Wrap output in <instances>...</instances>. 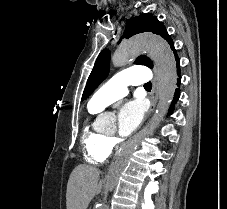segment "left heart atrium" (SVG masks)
Wrapping results in <instances>:
<instances>
[{"mask_svg":"<svg viewBox=\"0 0 227 209\" xmlns=\"http://www.w3.org/2000/svg\"><path fill=\"white\" fill-rule=\"evenodd\" d=\"M144 114V105L139 100L125 101L119 109V132L129 136L140 124Z\"/></svg>","mask_w":227,"mask_h":209,"instance_id":"left-heart-atrium-1","label":"left heart atrium"}]
</instances>
